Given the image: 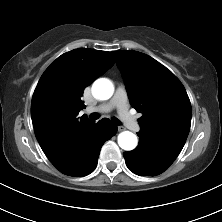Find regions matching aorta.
<instances>
[{"instance_id": "762f6f07", "label": "aorta", "mask_w": 222, "mask_h": 222, "mask_svg": "<svg viewBox=\"0 0 222 222\" xmlns=\"http://www.w3.org/2000/svg\"><path fill=\"white\" fill-rule=\"evenodd\" d=\"M113 92V84L106 78L97 79L92 85V94L96 99L108 100ZM118 144L126 151L133 150L137 145V137L130 131L121 132L118 135Z\"/></svg>"}]
</instances>
